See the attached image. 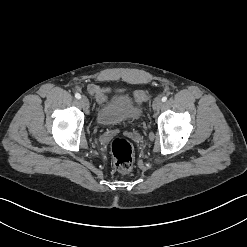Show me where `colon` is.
Instances as JSON below:
<instances>
[{
  "instance_id": "colon-1",
  "label": "colon",
  "mask_w": 247,
  "mask_h": 247,
  "mask_svg": "<svg viewBox=\"0 0 247 247\" xmlns=\"http://www.w3.org/2000/svg\"><path fill=\"white\" fill-rule=\"evenodd\" d=\"M110 151L113 164L119 172L126 173L132 169L134 149L126 139L114 138L110 144Z\"/></svg>"
}]
</instances>
